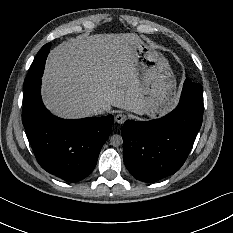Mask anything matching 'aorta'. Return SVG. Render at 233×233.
Listing matches in <instances>:
<instances>
[{"instance_id":"1","label":"aorta","mask_w":233,"mask_h":233,"mask_svg":"<svg viewBox=\"0 0 233 233\" xmlns=\"http://www.w3.org/2000/svg\"><path fill=\"white\" fill-rule=\"evenodd\" d=\"M122 143H123L122 136L118 134H114L110 137V144L112 146L119 147L120 145H122Z\"/></svg>"}]
</instances>
